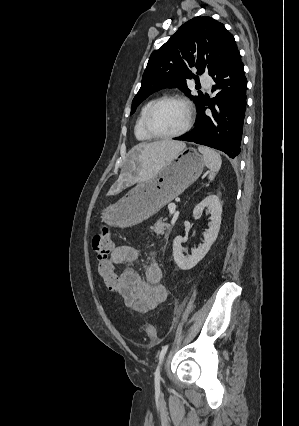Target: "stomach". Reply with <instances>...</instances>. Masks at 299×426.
<instances>
[{"label": "stomach", "mask_w": 299, "mask_h": 426, "mask_svg": "<svg viewBox=\"0 0 299 426\" xmlns=\"http://www.w3.org/2000/svg\"><path fill=\"white\" fill-rule=\"evenodd\" d=\"M204 157L194 148L180 151L149 181L132 188L102 212V221L113 227H130L156 214L201 175Z\"/></svg>", "instance_id": "stomach-1"}]
</instances>
